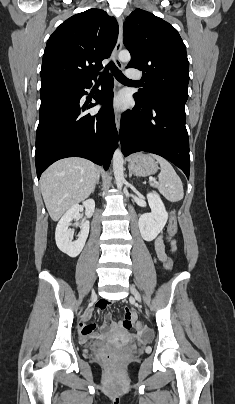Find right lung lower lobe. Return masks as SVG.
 I'll return each mask as SVG.
<instances>
[{"mask_svg":"<svg viewBox=\"0 0 235 404\" xmlns=\"http://www.w3.org/2000/svg\"><path fill=\"white\" fill-rule=\"evenodd\" d=\"M91 86V80L66 82L41 92L35 151L38 179L48 166L66 157H83L108 169L118 143L112 107L113 78L107 75L94 97L96 103L104 104L94 115L83 112L96 104H80L85 89Z\"/></svg>","mask_w":235,"mask_h":404,"instance_id":"1","label":"right lung lower lobe"}]
</instances>
